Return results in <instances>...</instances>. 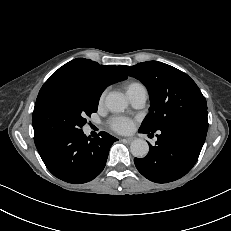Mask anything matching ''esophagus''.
Wrapping results in <instances>:
<instances>
[{
    "label": "esophagus",
    "instance_id": "obj_1",
    "mask_svg": "<svg viewBox=\"0 0 231 231\" xmlns=\"http://www.w3.org/2000/svg\"><path fill=\"white\" fill-rule=\"evenodd\" d=\"M136 138L135 137H127V138H124L123 140L130 143L132 142L133 140H135Z\"/></svg>",
    "mask_w": 231,
    "mask_h": 231
}]
</instances>
